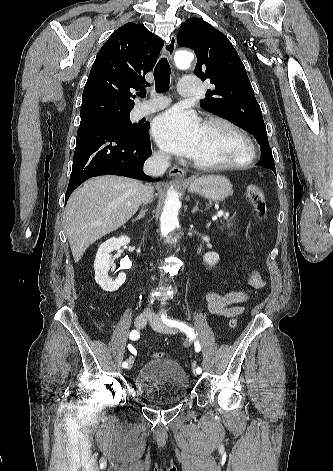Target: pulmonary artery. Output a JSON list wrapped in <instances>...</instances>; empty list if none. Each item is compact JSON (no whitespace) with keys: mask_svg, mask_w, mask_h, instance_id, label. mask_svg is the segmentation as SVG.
Listing matches in <instances>:
<instances>
[{"mask_svg":"<svg viewBox=\"0 0 333 471\" xmlns=\"http://www.w3.org/2000/svg\"><path fill=\"white\" fill-rule=\"evenodd\" d=\"M198 88L199 83L197 78L194 76H185L179 82V93L182 96H193L197 93ZM168 103L169 101L167 99H154L152 101L142 103L138 107L137 112L139 116H145L163 109L168 105Z\"/></svg>","mask_w":333,"mask_h":471,"instance_id":"pulmonary-artery-1","label":"pulmonary artery"}]
</instances>
